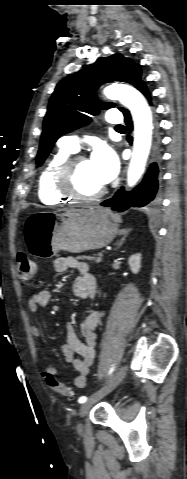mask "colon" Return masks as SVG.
Returning <instances> with one entry per match:
<instances>
[{"mask_svg":"<svg viewBox=\"0 0 187 479\" xmlns=\"http://www.w3.org/2000/svg\"><path fill=\"white\" fill-rule=\"evenodd\" d=\"M16 260L20 280L23 283L31 282L34 275L36 274L35 262L25 253H18ZM45 379L48 386L53 392L67 398L73 397V393L70 387L60 382L55 376L47 374L45 376Z\"/></svg>","mask_w":187,"mask_h":479,"instance_id":"5ec220e1","label":"colon"}]
</instances>
